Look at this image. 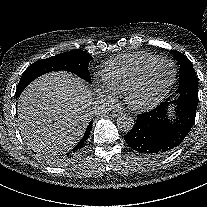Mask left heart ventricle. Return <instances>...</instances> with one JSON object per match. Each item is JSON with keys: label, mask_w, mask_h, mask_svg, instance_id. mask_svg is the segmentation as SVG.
I'll return each mask as SVG.
<instances>
[{"label": "left heart ventricle", "mask_w": 207, "mask_h": 207, "mask_svg": "<svg viewBox=\"0 0 207 207\" xmlns=\"http://www.w3.org/2000/svg\"><path fill=\"white\" fill-rule=\"evenodd\" d=\"M174 67L169 62L157 64L147 75L143 89L134 96V101L140 105H148L163 98L172 76Z\"/></svg>", "instance_id": "obj_1"}]
</instances>
